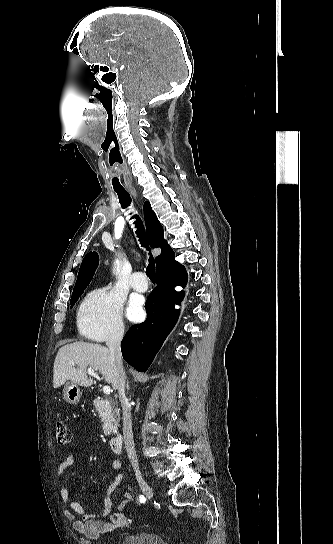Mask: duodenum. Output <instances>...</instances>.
Instances as JSON below:
<instances>
[{"label": "duodenum", "mask_w": 333, "mask_h": 544, "mask_svg": "<svg viewBox=\"0 0 333 544\" xmlns=\"http://www.w3.org/2000/svg\"><path fill=\"white\" fill-rule=\"evenodd\" d=\"M110 449L115 454H120L123 449V436L121 433L114 434L110 439Z\"/></svg>", "instance_id": "obj_1"}]
</instances>
